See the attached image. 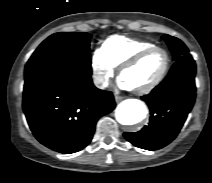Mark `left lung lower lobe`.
Segmentation results:
<instances>
[{"label": "left lung lower lobe", "mask_w": 212, "mask_h": 183, "mask_svg": "<svg viewBox=\"0 0 212 183\" xmlns=\"http://www.w3.org/2000/svg\"><path fill=\"white\" fill-rule=\"evenodd\" d=\"M195 73V61L190 54L176 60L164 81L142 97L150 108L149 124L138 132L124 133V137L146 150L168 145L181 130L194 105Z\"/></svg>", "instance_id": "1"}]
</instances>
